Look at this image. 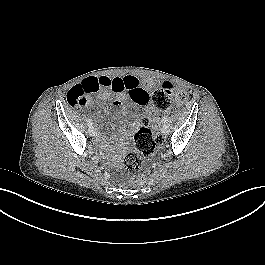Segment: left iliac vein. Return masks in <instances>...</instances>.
Wrapping results in <instances>:
<instances>
[{
    "label": "left iliac vein",
    "mask_w": 265,
    "mask_h": 265,
    "mask_svg": "<svg viewBox=\"0 0 265 265\" xmlns=\"http://www.w3.org/2000/svg\"><path fill=\"white\" fill-rule=\"evenodd\" d=\"M161 131H162L163 134L167 135L169 133V131H170L169 130V126L166 123H164L162 125Z\"/></svg>",
    "instance_id": "obj_1"
}]
</instances>
